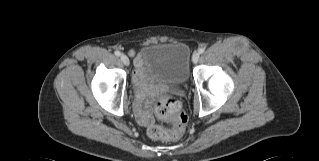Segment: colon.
Segmentation results:
<instances>
[{
  "label": "colon",
  "mask_w": 319,
  "mask_h": 161,
  "mask_svg": "<svg viewBox=\"0 0 319 161\" xmlns=\"http://www.w3.org/2000/svg\"><path fill=\"white\" fill-rule=\"evenodd\" d=\"M154 112L158 118L171 123L172 128L155 124L150 127L149 134L154 139L176 141L182 137L187 124V115L182 109V103L174 97H162L155 101Z\"/></svg>",
  "instance_id": "obj_1"
}]
</instances>
